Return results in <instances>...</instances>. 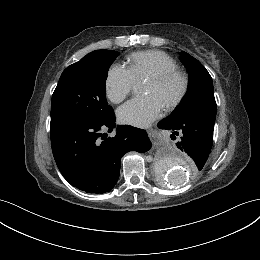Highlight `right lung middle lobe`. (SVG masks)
<instances>
[{
    "label": "right lung middle lobe",
    "mask_w": 260,
    "mask_h": 260,
    "mask_svg": "<svg viewBox=\"0 0 260 260\" xmlns=\"http://www.w3.org/2000/svg\"><path fill=\"white\" fill-rule=\"evenodd\" d=\"M118 55L112 50H95L63 71L52 95L50 126L99 122L114 112L107 104L105 82Z\"/></svg>",
    "instance_id": "1"
}]
</instances>
